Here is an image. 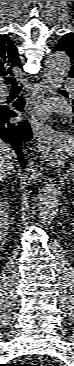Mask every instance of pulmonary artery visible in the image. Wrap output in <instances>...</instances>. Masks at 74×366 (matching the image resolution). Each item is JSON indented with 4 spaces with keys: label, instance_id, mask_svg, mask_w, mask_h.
Returning a JSON list of instances; mask_svg holds the SVG:
<instances>
[{
    "label": "pulmonary artery",
    "instance_id": "1",
    "mask_svg": "<svg viewBox=\"0 0 74 366\" xmlns=\"http://www.w3.org/2000/svg\"><path fill=\"white\" fill-rule=\"evenodd\" d=\"M64 86H71V83H70V82H68V81H66V82L64 83Z\"/></svg>",
    "mask_w": 74,
    "mask_h": 366
}]
</instances>
